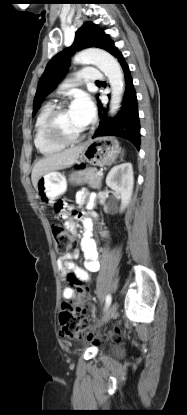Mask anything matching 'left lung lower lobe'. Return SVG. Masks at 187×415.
I'll return each instance as SVG.
<instances>
[{"label": "left lung lower lobe", "instance_id": "obj_1", "mask_svg": "<svg viewBox=\"0 0 187 415\" xmlns=\"http://www.w3.org/2000/svg\"><path fill=\"white\" fill-rule=\"evenodd\" d=\"M107 51L117 58L122 67L125 80V94L121 111L114 118H107L106 111L104 110L100 124L93 137H123L131 141L138 149H140V123L137 109V97L129 67L113 42L108 47ZM98 106L99 114L101 115L102 106L100 102H98Z\"/></svg>", "mask_w": 187, "mask_h": 415}]
</instances>
